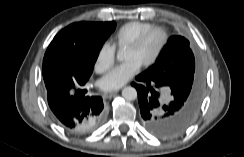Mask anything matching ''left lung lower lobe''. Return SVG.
<instances>
[{"label":"left lung lower lobe","instance_id":"0a47b994","mask_svg":"<svg viewBox=\"0 0 244 157\" xmlns=\"http://www.w3.org/2000/svg\"><path fill=\"white\" fill-rule=\"evenodd\" d=\"M138 102L142 123L152 134L162 138H173L181 135L194 121L200 103L191 101L184 95L171 92L169 102L160 103L161 90H165L163 81L155 76L141 73L136 77Z\"/></svg>","mask_w":244,"mask_h":157}]
</instances>
